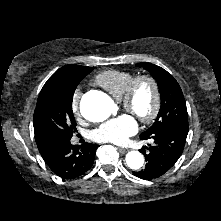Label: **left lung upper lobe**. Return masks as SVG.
Here are the masks:
<instances>
[{"label":"left lung upper lobe","mask_w":221,"mask_h":221,"mask_svg":"<svg viewBox=\"0 0 221 221\" xmlns=\"http://www.w3.org/2000/svg\"><path fill=\"white\" fill-rule=\"evenodd\" d=\"M148 70L157 81L161 107L154 124L141 135H150L178 124H188L186 102L175 78L163 68L142 62L136 64Z\"/></svg>","instance_id":"obj_1"}]
</instances>
